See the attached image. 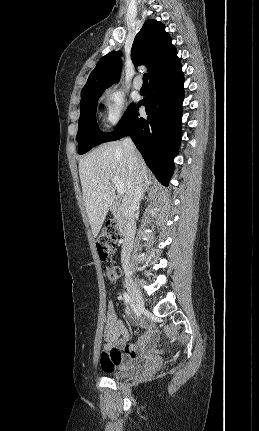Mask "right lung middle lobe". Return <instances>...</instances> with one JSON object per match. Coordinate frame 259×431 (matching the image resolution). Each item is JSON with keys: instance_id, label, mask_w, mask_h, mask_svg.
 I'll use <instances>...</instances> for the list:
<instances>
[{"instance_id": "dd1d6c3e", "label": "right lung middle lobe", "mask_w": 259, "mask_h": 431, "mask_svg": "<svg viewBox=\"0 0 259 431\" xmlns=\"http://www.w3.org/2000/svg\"><path fill=\"white\" fill-rule=\"evenodd\" d=\"M101 94V92L90 93L81 99L77 133L79 154H84L96 145L105 142L110 134L103 133L99 129L95 118L97 102ZM132 107L133 105L131 104L123 118L132 109Z\"/></svg>"}]
</instances>
